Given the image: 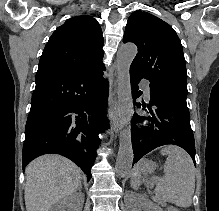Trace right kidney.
Returning a JSON list of instances; mask_svg holds the SVG:
<instances>
[{
    "label": "right kidney",
    "mask_w": 219,
    "mask_h": 211,
    "mask_svg": "<svg viewBox=\"0 0 219 211\" xmlns=\"http://www.w3.org/2000/svg\"><path fill=\"white\" fill-rule=\"evenodd\" d=\"M83 193H81V197H82ZM78 199H75V197H73V195H69V197H67V199H65V197H63V199H60V201H58V203H54L51 211H67L66 207H75L76 203H77ZM79 203H80V207L83 203V199H79Z\"/></svg>",
    "instance_id": "1"
}]
</instances>
